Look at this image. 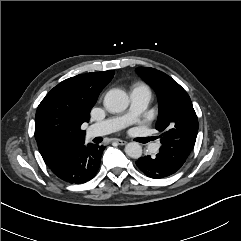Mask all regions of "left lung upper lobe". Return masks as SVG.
I'll return each mask as SVG.
<instances>
[{"instance_id": "left-lung-upper-lobe-1", "label": "left lung upper lobe", "mask_w": 241, "mask_h": 241, "mask_svg": "<svg viewBox=\"0 0 241 241\" xmlns=\"http://www.w3.org/2000/svg\"><path fill=\"white\" fill-rule=\"evenodd\" d=\"M138 74L157 93L159 116L156 129L161 133L159 155L182 167L190 155L198 132V119L187 92L170 76L150 67H138Z\"/></svg>"}]
</instances>
